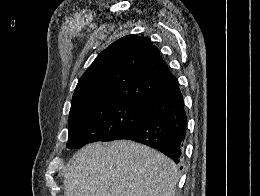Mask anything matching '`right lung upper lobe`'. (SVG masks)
<instances>
[{"label":"right lung upper lobe","mask_w":260,"mask_h":196,"mask_svg":"<svg viewBox=\"0 0 260 196\" xmlns=\"http://www.w3.org/2000/svg\"><path fill=\"white\" fill-rule=\"evenodd\" d=\"M177 83L159 50L145 37L128 35L108 46L79 79L71 106L124 98L142 103Z\"/></svg>","instance_id":"right-lung-upper-lobe-1"}]
</instances>
